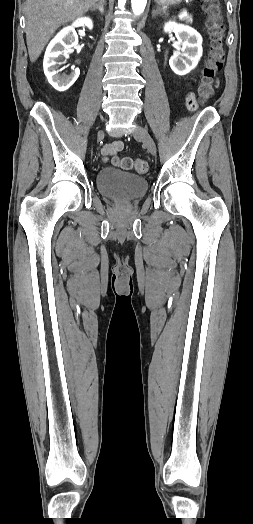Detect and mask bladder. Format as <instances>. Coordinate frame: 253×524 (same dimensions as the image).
Returning <instances> with one entry per match:
<instances>
[{
    "label": "bladder",
    "instance_id": "1",
    "mask_svg": "<svg viewBox=\"0 0 253 524\" xmlns=\"http://www.w3.org/2000/svg\"><path fill=\"white\" fill-rule=\"evenodd\" d=\"M96 184L102 196L123 203L137 201L148 190L145 177L112 167H105L98 171Z\"/></svg>",
    "mask_w": 253,
    "mask_h": 524
}]
</instances>
